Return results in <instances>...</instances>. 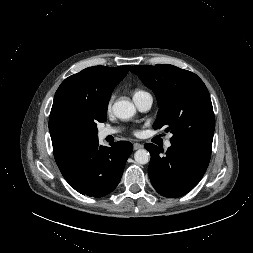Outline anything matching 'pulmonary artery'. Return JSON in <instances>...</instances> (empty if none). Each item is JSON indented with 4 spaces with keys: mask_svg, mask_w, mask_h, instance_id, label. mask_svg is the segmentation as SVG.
<instances>
[{
    "mask_svg": "<svg viewBox=\"0 0 253 253\" xmlns=\"http://www.w3.org/2000/svg\"><path fill=\"white\" fill-rule=\"evenodd\" d=\"M133 99H134V102H135L137 108L142 112H146V111L150 110L152 103H153L152 96L147 92L137 95V96H134ZM117 132H118V130L115 128H109V127L103 128L98 131V137L100 139H105L107 136L114 135ZM170 146H171V142L169 140H167L165 142V148L167 149Z\"/></svg>",
    "mask_w": 253,
    "mask_h": 253,
    "instance_id": "obj_1",
    "label": "pulmonary artery"
}]
</instances>
